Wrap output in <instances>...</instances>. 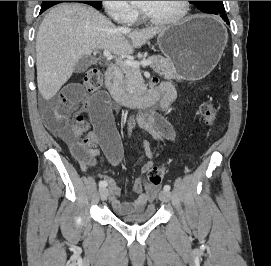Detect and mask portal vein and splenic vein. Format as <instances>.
I'll use <instances>...</instances> for the list:
<instances>
[{"mask_svg":"<svg viewBox=\"0 0 271 266\" xmlns=\"http://www.w3.org/2000/svg\"><path fill=\"white\" fill-rule=\"evenodd\" d=\"M103 54L107 59L113 58V56L109 50H104ZM115 60L117 63H119L121 65L130 66V67H134L137 69H139L140 66H151L153 63L151 60H143L141 62H137V61H133V60H120L118 58H115Z\"/></svg>","mask_w":271,"mask_h":266,"instance_id":"18ae733b","label":"portal vein and splenic vein"}]
</instances>
